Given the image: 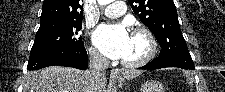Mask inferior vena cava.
<instances>
[{"mask_svg": "<svg viewBox=\"0 0 225 92\" xmlns=\"http://www.w3.org/2000/svg\"><path fill=\"white\" fill-rule=\"evenodd\" d=\"M109 61L96 50L89 51V73L92 78L97 79L103 71L108 68Z\"/></svg>", "mask_w": 225, "mask_h": 92, "instance_id": "inferior-vena-cava-1", "label": "inferior vena cava"}]
</instances>
